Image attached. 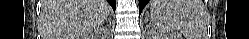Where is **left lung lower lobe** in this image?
<instances>
[{
    "label": "left lung lower lobe",
    "instance_id": "1",
    "mask_svg": "<svg viewBox=\"0 0 249 39\" xmlns=\"http://www.w3.org/2000/svg\"><path fill=\"white\" fill-rule=\"evenodd\" d=\"M149 0H139V12H142L144 6L148 3Z\"/></svg>",
    "mask_w": 249,
    "mask_h": 39
}]
</instances>
